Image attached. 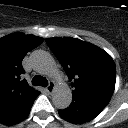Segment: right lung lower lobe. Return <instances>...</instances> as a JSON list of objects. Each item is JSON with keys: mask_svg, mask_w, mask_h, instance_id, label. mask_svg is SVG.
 Instances as JSON below:
<instances>
[{"mask_svg": "<svg viewBox=\"0 0 128 128\" xmlns=\"http://www.w3.org/2000/svg\"><path fill=\"white\" fill-rule=\"evenodd\" d=\"M39 94L40 92L36 91L34 94L16 103L12 109L0 115V123L10 126L24 120L29 115L33 102Z\"/></svg>", "mask_w": 128, "mask_h": 128, "instance_id": "obj_1", "label": "right lung lower lobe"}]
</instances>
